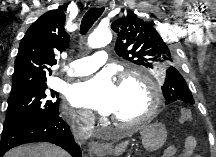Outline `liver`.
Wrapping results in <instances>:
<instances>
[{"instance_id":"obj_1","label":"liver","mask_w":216,"mask_h":157,"mask_svg":"<svg viewBox=\"0 0 216 157\" xmlns=\"http://www.w3.org/2000/svg\"><path fill=\"white\" fill-rule=\"evenodd\" d=\"M5 157H69V154L55 145L36 143L13 148Z\"/></svg>"}]
</instances>
